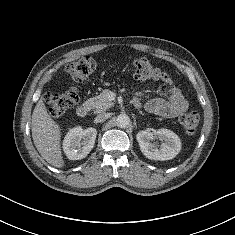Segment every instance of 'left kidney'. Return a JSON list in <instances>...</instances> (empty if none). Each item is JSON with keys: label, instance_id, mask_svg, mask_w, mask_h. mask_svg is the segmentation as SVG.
<instances>
[{"label": "left kidney", "instance_id": "obj_1", "mask_svg": "<svg viewBox=\"0 0 235 235\" xmlns=\"http://www.w3.org/2000/svg\"><path fill=\"white\" fill-rule=\"evenodd\" d=\"M158 138L161 145L152 142ZM141 152L151 160L173 159L181 150V141L177 134L168 129H159L157 132L140 131L136 135Z\"/></svg>", "mask_w": 235, "mask_h": 235}]
</instances>
